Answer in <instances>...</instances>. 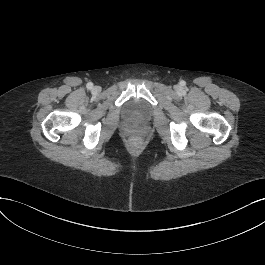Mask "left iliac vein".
<instances>
[{
	"mask_svg": "<svg viewBox=\"0 0 265 265\" xmlns=\"http://www.w3.org/2000/svg\"><path fill=\"white\" fill-rule=\"evenodd\" d=\"M176 90H177V91H179V90H180V88H179V87H176Z\"/></svg>",
	"mask_w": 265,
	"mask_h": 265,
	"instance_id": "obj_1",
	"label": "left iliac vein"
}]
</instances>
